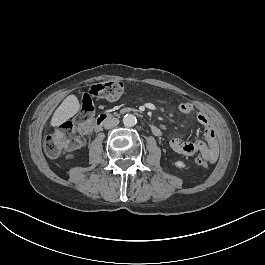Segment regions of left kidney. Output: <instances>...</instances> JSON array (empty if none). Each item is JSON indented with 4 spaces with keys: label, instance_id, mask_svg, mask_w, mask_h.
<instances>
[{
    "label": "left kidney",
    "instance_id": "obj_1",
    "mask_svg": "<svg viewBox=\"0 0 265 265\" xmlns=\"http://www.w3.org/2000/svg\"><path fill=\"white\" fill-rule=\"evenodd\" d=\"M175 165H176L177 167H179V168H184V167H185V164H184L183 162H181V161H177V162L175 163Z\"/></svg>",
    "mask_w": 265,
    "mask_h": 265
}]
</instances>
